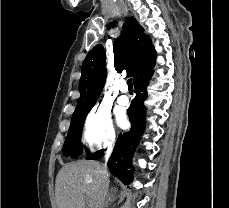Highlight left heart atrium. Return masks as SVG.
<instances>
[{
    "instance_id": "left-heart-atrium-1",
    "label": "left heart atrium",
    "mask_w": 229,
    "mask_h": 208,
    "mask_svg": "<svg viewBox=\"0 0 229 208\" xmlns=\"http://www.w3.org/2000/svg\"><path fill=\"white\" fill-rule=\"evenodd\" d=\"M118 122H119V125H120L121 127H125V126L127 125V120H126V118H125L124 116L120 117V118L118 119Z\"/></svg>"
}]
</instances>
